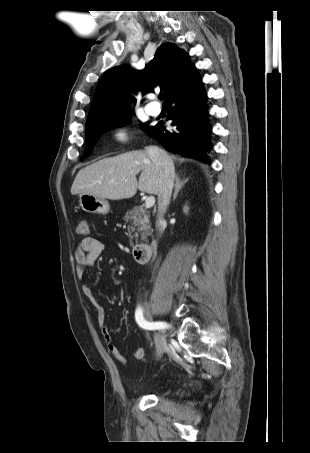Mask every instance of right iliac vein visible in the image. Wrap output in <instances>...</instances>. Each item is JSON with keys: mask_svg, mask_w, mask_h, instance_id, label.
Returning <instances> with one entry per match:
<instances>
[{"mask_svg": "<svg viewBox=\"0 0 310 453\" xmlns=\"http://www.w3.org/2000/svg\"><path fill=\"white\" fill-rule=\"evenodd\" d=\"M147 308H148V316L151 317L152 308L150 305H148ZM154 340H155V344H156L157 358H161V356L163 355V353L165 352L166 347H167L165 337L161 333H155Z\"/></svg>", "mask_w": 310, "mask_h": 453, "instance_id": "1", "label": "right iliac vein"}]
</instances>
